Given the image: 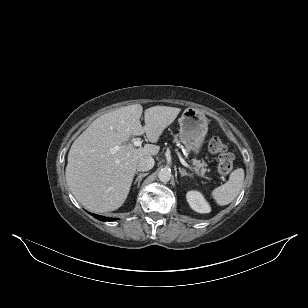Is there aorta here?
<instances>
[{"label":"aorta","mask_w":308,"mask_h":308,"mask_svg":"<svg viewBox=\"0 0 308 308\" xmlns=\"http://www.w3.org/2000/svg\"><path fill=\"white\" fill-rule=\"evenodd\" d=\"M171 171L169 169H161L158 173V178L161 182H168L171 179Z\"/></svg>","instance_id":"762f6f07"}]
</instances>
